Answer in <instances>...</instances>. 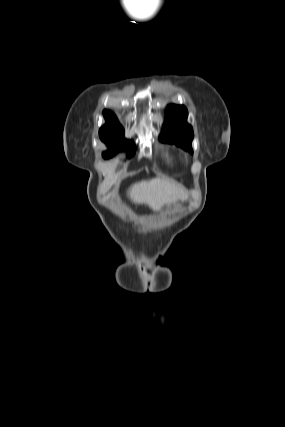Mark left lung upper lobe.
<instances>
[{
  "label": "left lung upper lobe",
  "mask_w": 285,
  "mask_h": 427,
  "mask_svg": "<svg viewBox=\"0 0 285 427\" xmlns=\"http://www.w3.org/2000/svg\"><path fill=\"white\" fill-rule=\"evenodd\" d=\"M187 109L184 106L170 105L167 109V120L159 139L175 143L186 151L193 153L191 142L194 138L191 125L187 124Z\"/></svg>",
  "instance_id": "left-lung-upper-lobe-1"
}]
</instances>
